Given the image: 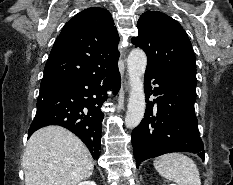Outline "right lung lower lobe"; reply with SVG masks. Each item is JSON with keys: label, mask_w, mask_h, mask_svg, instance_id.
Here are the masks:
<instances>
[{"label": "right lung lower lobe", "mask_w": 233, "mask_h": 185, "mask_svg": "<svg viewBox=\"0 0 233 185\" xmlns=\"http://www.w3.org/2000/svg\"><path fill=\"white\" fill-rule=\"evenodd\" d=\"M119 89L118 66L95 74L41 84L37 112L28 137L44 126L60 125L76 134L93 158L98 159L104 117L100 108L107 99V91L117 94Z\"/></svg>", "instance_id": "obj_1"}]
</instances>
